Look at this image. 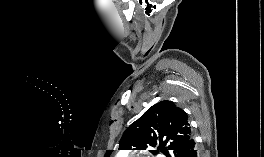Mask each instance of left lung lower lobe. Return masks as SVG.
<instances>
[{"mask_svg": "<svg viewBox=\"0 0 264 157\" xmlns=\"http://www.w3.org/2000/svg\"><path fill=\"white\" fill-rule=\"evenodd\" d=\"M181 157H199L193 138L182 149Z\"/></svg>", "mask_w": 264, "mask_h": 157, "instance_id": "1", "label": "left lung lower lobe"}]
</instances>
